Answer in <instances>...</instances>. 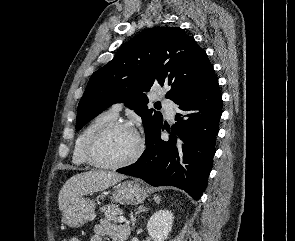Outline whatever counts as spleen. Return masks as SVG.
<instances>
[{
    "instance_id": "obj_1",
    "label": "spleen",
    "mask_w": 295,
    "mask_h": 241,
    "mask_svg": "<svg viewBox=\"0 0 295 241\" xmlns=\"http://www.w3.org/2000/svg\"><path fill=\"white\" fill-rule=\"evenodd\" d=\"M154 199H155L156 202H158V203L160 202V198H159V196H156V195H155V196H154Z\"/></svg>"
}]
</instances>
